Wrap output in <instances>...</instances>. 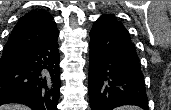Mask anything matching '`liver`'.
<instances>
[{
	"label": "liver",
	"mask_w": 171,
	"mask_h": 110,
	"mask_svg": "<svg viewBox=\"0 0 171 110\" xmlns=\"http://www.w3.org/2000/svg\"><path fill=\"white\" fill-rule=\"evenodd\" d=\"M0 110H28L27 107L17 104H8L0 107Z\"/></svg>",
	"instance_id": "1"
}]
</instances>
